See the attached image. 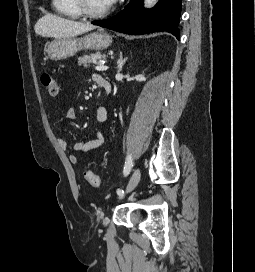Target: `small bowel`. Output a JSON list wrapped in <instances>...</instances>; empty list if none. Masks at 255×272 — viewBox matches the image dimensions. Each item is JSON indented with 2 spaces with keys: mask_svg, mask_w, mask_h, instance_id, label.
Returning <instances> with one entry per match:
<instances>
[{
  "mask_svg": "<svg viewBox=\"0 0 255 272\" xmlns=\"http://www.w3.org/2000/svg\"><path fill=\"white\" fill-rule=\"evenodd\" d=\"M100 78H102V76L99 74L93 75V80L96 83ZM76 117V110L70 107L66 112L64 122L61 124L57 131V135L59 136L61 134L65 123L74 121ZM96 119L100 124L106 123L108 120V111L105 107H99L97 109ZM104 141L105 139L103 134L99 130H94L90 138L80 140L73 145V152L68 155L69 161L74 164L77 163L79 155L101 147L104 144ZM58 144L63 150H67L68 144L61 137H58Z\"/></svg>",
  "mask_w": 255,
  "mask_h": 272,
  "instance_id": "obj_1",
  "label": "small bowel"
}]
</instances>
